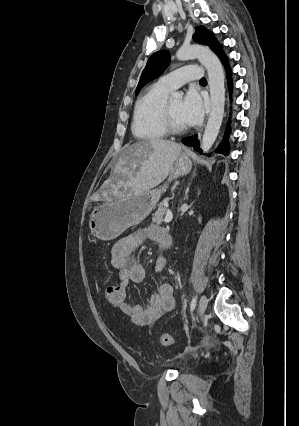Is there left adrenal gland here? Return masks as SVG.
<instances>
[{
    "mask_svg": "<svg viewBox=\"0 0 299 426\" xmlns=\"http://www.w3.org/2000/svg\"><path fill=\"white\" fill-rule=\"evenodd\" d=\"M189 192V188L187 189V193ZM186 199H188V195H186Z\"/></svg>",
    "mask_w": 299,
    "mask_h": 426,
    "instance_id": "obj_1",
    "label": "left adrenal gland"
}]
</instances>
